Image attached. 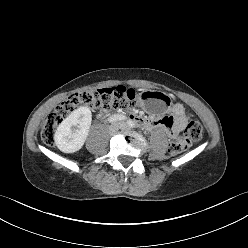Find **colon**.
<instances>
[{"label":"colon","instance_id":"5ec220e1","mask_svg":"<svg viewBox=\"0 0 248 248\" xmlns=\"http://www.w3.org/2000/svg\"><path fill=\"white\" fill-rule=\"evenodd\" d=\"M137 91L123 86L76 92L62 101L44 120L41 127V138L46 145H53L57 127L79 106L85 105L94 109H136ZM203 134L199 121H190L183 137L177 138L169 145L171 155L184 152L191 142L198 141Z\"/></svg>","mask_w":248,"mask_h":248}]
</instances>
